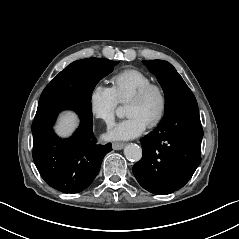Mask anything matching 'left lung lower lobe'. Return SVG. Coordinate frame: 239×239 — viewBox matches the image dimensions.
<instances>
[{
    "label": "left lung lower lobe",
    "instance_id": "0a47b994",
    "mask_svg": "<svg viewBox=\"0 0 239 239\" xmlns=\"http://www.w3.org/2000/svg\"><path fill=\"white\" fill-rule=\"evenodd\" d=\"M202 137L197 102L175 106L140 140L143 156L132 168L139 184L157 195L182 188L201 162Z\"/></svg>",
    "mask_w": 239,
    "mask_h": 239
}]
</instances>
